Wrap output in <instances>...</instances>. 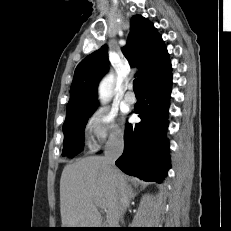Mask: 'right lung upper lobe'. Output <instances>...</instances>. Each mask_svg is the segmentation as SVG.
<instances>
[{
  "label": "right lung upper lobe",
  "mask_w": 231,
  "mask_h": 231,
  "mask_svg": "<svg viewBox=\"0 0 231 231\" xmlns=\"http://www.w3.org/2000/svg\"><path fill=\"white\" fill-rule=\"evenodd\" d=\"M130 34L122 48L132 66H137L141 86L171 71L165 44L151 22L140 15L130 21ZM106 45L84 58L76 67L66 113L73 114L98 106L97 87L108 72Z\"/></svg>",
  "instance_id": "cb5924a9"
}]
</instances>
